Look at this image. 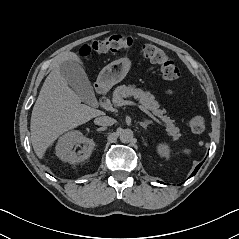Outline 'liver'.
Instances as JSON below:
<instances>
[{"label": "liver", "mask_w": 239, "mask_h": 239, "mask_svg": "<svg viewBox=\"0 0 239 239\" xmlns=\"http://www.w3.org/2000/svg\"><path fill=\"white\" fill-rule=\"evenodd\" d=\"M69 60L81 63L76 53H63L45 79L32 110L31 142L41 159L61 134L102 114L100 110L81 104L80 96L68 86L60 64Z\"/></svg>", "instance_id": "obj_1"}]
</instances>
